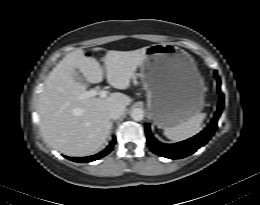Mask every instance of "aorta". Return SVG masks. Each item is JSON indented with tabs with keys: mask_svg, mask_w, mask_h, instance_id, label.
<instances>
[{
	"mask_svg": "<svg viewBox=\"0 0 260 205\" xmlns=\"http://www.w3.org/2000/svg\"><path fill=\"white\" fill-rule=\"evenodd\" d=\"M130 116L134 121H141L144 117V111L141 108H134L132 109Z\"/></svg>",
	"mask_w": 260,
	"mask_h": 205,
	"instance_id": "aorta-1",
	"label": "aorta"
}]
</instances>
